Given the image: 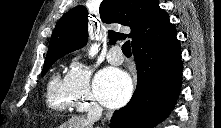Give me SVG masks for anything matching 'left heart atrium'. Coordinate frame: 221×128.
<instances>
[{"label": "left heart atrium", "instance_id": "1", "mask_svg": "<svg viewBox=\"0 0 221 128\" xmlns=\"http://www.w3.org/2000/svg\"><path fill=\"white\" fill-rule=\"evenodd\" d=\"M133 91L129 76L115 68L100 71L95 79L94 93L97 99L107 107L124 105Z\"/></svg>", "mask_w": 221, "mask_h": 128}]
</instances>
